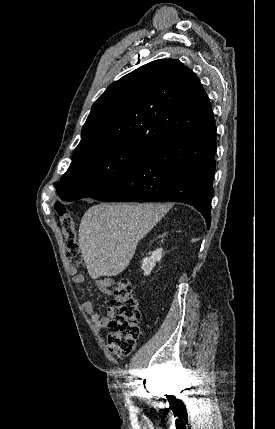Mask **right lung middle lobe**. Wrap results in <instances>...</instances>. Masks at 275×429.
Returning a JSON list of instances; mask_svg holds the SVG:
<instances>
[{
  "mask_svg": "<svg viewBox=\"0 0 275 429\" xmlns=\"http://www.w3.org/2000/svg\"><path fill=\"white\" fill-rule=\"evenodd\" d=\"M150 151L127 144L102 148L72 161L60 182L59 197L74 201L107 189L137 168Z\"/></svg>",
  "mask_w": 275,
  "mask_h": 429,
  "instance_id": "obj_1",
  "label": "right lung middle lobe"
}]
</instances>
